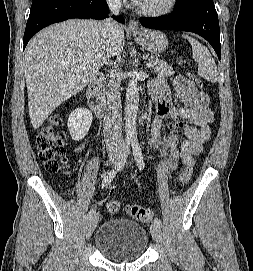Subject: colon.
Instances as JSON below:
<instances>
[{
	"instance_id": "obj_1",
	"label": "colon",
	"mask_w": 253,
	"mask_h": 271,
	"mask_svg": "<svg viewBox=\"0 0 253 271\" xmlns=\"http://www.w3.org/2000/svg\"><path fill=\"white\" fill-rule=\"evenodd\" d=\"M191 78L200 84L199 80L191 75ZM60 123L59 116L55 115L50 118L48 124L40 131L36 139V145L40 160L47 172H57L65 162V144L61 135L56 130ZM193 162L189 163L185 170L180 174V180L186 184L192 176ZM121 205L119 201H110L107 210L111 214L120 211ZM127 213L133 219L148 223L152 220V212L140 205H128Z\"/></svg>"
}]
</instances>
